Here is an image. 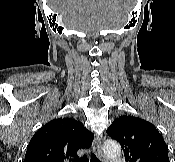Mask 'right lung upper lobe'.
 <instances>
[{
    "label": "right lung upper lobe",
    "mask_w": 175,
    "mask_h": 162,
    "mask_svg": "<svg viewBox=\"0 0 175 162\" xmlns=\"http://www.w3.org/2000/svg\"><path fill=\"white\" fill-rule=\"evenodd\" d=\"M94 135L73 118L51 120L32 137L24 162H81L79 149L90 148Z\"/></svg>",
    "instance_id": "1"
}]
</instances>
